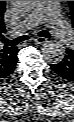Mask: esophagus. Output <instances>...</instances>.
I'll use <instances>...</instances> for the list:
<instances>
[{"label": "esophagus", "mask_w": 74, "mask_h": 122, "mask_svg": "<svg viewBox=\"0 0 74 122\" xmlns=\"http://www.w3.org/2000/svg\"><path fill=\"white\" fill-rule=\"evenodd\" d=\"M35 44H46L48 43V40L44 37H37L34 39Z\"/></svg>", "instance_id": "esophagus-1"}]
</instances>
